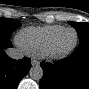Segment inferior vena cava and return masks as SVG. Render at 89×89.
I'll return each instance as SVG.
<instances>
[{
    "instance_id": "602c4592",
    "label": "inferior vena cava",
    "mask_w": 89,
    "mask_h": 89,
    "mask_svg": "<svg viewBox=\"0 0 89 89\" xmlns=\"http://www.w3.org/2000/svg\"><path fill=\"white\" fill-rule=\"evenodd\" d=\"M7 55L12 59H22L24 57V53L16 48H9L6 50Z\"/></svg>"
}]
</instances>
